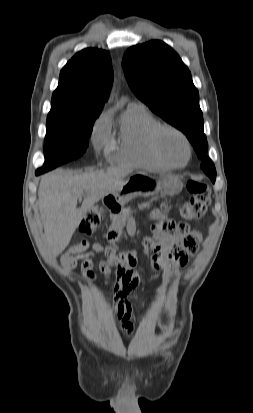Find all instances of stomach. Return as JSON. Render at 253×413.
Wrapping results in <instances>:
<instances>
[{"mask_svg": "<svg viewBox=\"0 0 253 413\" xmlns=\"http://www.w3.org/2000/svg\"><path fill=\"white\" fill-rule=\"evenodd\" d=\"M183 188L181 180L176 176L157 178L145 172L130 175L118 190L104 198L106 202L122 206L134 197H149L157 194L174 196Z\"/></svg>", "mask_w": 253, "mask_h": 413, "instance_id": "stomach-1", "label": "stomach"}]
</instances>
